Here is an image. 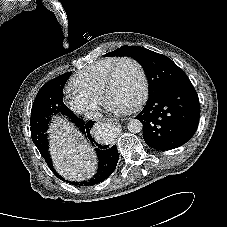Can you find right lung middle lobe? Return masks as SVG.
<instances>
[{
	"mask_svg": "<svg viewBox=\"0 0 227 227\" xmlns=\"http://www.w3.org/2000/svg\"><path fill=\"white\" fill-rule=\"evenodd\" d=\"M72 72L62 74L47 82L38 91L31 109V138L42 156L48 153L47 129L50 117L61 113L72 117L73 112L63 103V88Z\"/></svg>",
	"mask_w": 227,
	"mask_h": 227,
	"instance_id": "obj_1",
	"label": "right lung middle lobe"
}]
</instances>
